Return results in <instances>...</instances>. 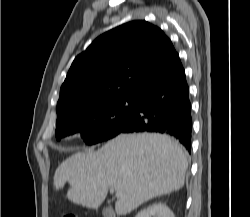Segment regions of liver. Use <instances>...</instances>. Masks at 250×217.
<instances>
[{"instance_id": "obj_1", "label": "liver", "mask_w": 250, "mask_h": 217, "mask_svg": "<svg viewBox=\"0 0 250 217\" xmlns=\"http://www.w3.org/2000/svg\"><path fill=\"white\" fill-rule=\"evenodd\" d=\"M187 167L182 148L169 136L121 134L96 151L71 155L56 169L53 185L59 190L68 182L67 198L91 209L99 208L113 187L122 216L182 188Z\"/></svg>"}]
</instances>
